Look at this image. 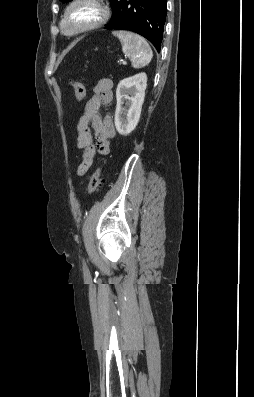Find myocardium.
<instances>
[{"mask_svg":"<svg viewBox=\"0 0 254 397\" xmlns=\"http://www.w3.org/2000/svg\"><path fill=\"white\" fill-rule=\"evenodd\" d=\"M81 5H92L96 7L99 12L98 16L93 21H90L86 24L80 25L72 29H68L66 27L67 20L69 19L74 9ZM109 18H110V10L107 4L103 0H72L65 8L60 18L59 29L63 35L67 37H73L103 26L104 24L107 23Z\"/></svg>","mask_w":254,"mask_h":397,"instance_id":"obj_1","label":"myocardium"}]
</instances>
